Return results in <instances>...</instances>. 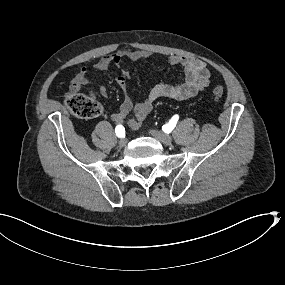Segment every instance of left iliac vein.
I'll use <instances>...</instances> for the list:
<instances>
[{
    "label": "left iliac vein",
    "mask_w": 285,
    "mask_h": 285,
    "mask_svg": "<svg viewBox=\"0 0 285 285\" xmlns=\"http://www.w3.org/2000/svg\"><path fill=\"white\" fill-rule=\"evenodd\" d=\"M153 135L164 145H170L172 143V137L168 134L154 132Z\"/></svg>",
    "instance_id": "1"
}]
</instances>
